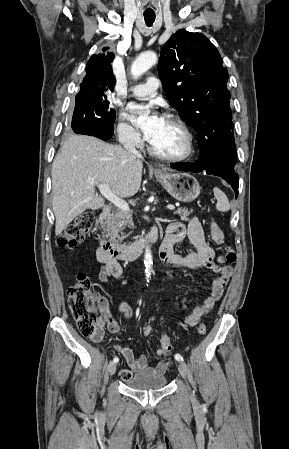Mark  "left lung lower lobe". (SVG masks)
Listing matches in <instances>:
<instances>
[{
  "label": "left lung lower lobe",
  "mask_w": 289,
  "mask_h": 449,
  "mask_svg": "<svg viewBox=\"0 0 289 449\" xmlns=\"http://www.w3.org/2000/svg\"><path fill=\"white\" fill-rule=\"evenodd\" d=\"M171 168L180 170V171H188V172H202L206 171L207 174H213L219 176L226 180L235 191L236 197L238 196V175L235 171V165L230 166L222 171L218 170L217 167L208 161H201L198 159L195 163H175L170 165Z\"/></svg>",
  "instance_id": "obj_1"
}]
</instances>
